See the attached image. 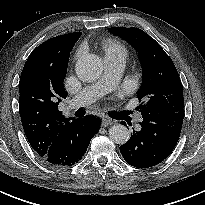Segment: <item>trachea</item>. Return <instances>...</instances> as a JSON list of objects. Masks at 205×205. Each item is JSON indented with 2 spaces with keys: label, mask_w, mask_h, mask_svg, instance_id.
Returning a JSON list of instances; mask_svg holds the SVG:
<instances>
[{
  "label": "trachea",
  "mask_w": 205,
  "mask_h": 205,
  "mask_svg": "<svg viewBox=\"0 0 205 205\" xmlns=\"http://www.w3.org/2000/svg\"><path fill=\"white\" fill-rule=\"evenodd\" d=\"M77 117H82L84 115V111L82 109H78L75 113Z\"/></svg>",
  "instance_id": "1"
}]
</instances>
